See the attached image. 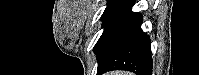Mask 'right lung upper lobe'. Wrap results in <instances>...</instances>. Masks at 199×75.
<instances>
[{"label":"right lung upper lobe","instance_id":"1","mask_svg":"<svg viewBox=\"0 0 199 75\" xmlns=\"http://www.w3.org/2000/svg\"><path fill=\"white\" fill-rule=\"evenodd\" d=\"M116 1H119V0H109V2L108 3H113V2H116ZM126 1H131V0H126Z\"/></svg>","mask_w":199,"mask_h":75}]
</instances>
